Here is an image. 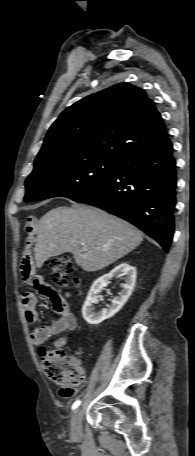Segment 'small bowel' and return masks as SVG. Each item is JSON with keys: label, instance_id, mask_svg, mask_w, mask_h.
<instances>
[{"label": "small bowel", "instance_id": "small-bowel-1", "mask_svg": "<svg viewBox=\"0 0 195 456\" xmlns=\"http://www.w3.org/2000/svg\"><path fill=\"white\" fill-rule=\"evenodd\" d=\"M36 219L28 217L24 224V231L27 235V246L21 261V276L25 281H32L35 290L43 297L49 299L54 310L59 317L45 325L35 328L31 333L32 342L40 346L46 343L49 339L62 332L73 331L77 328L78 322L74 313L70 310L67 304L69 294H63L61 290L53 288L45 281L42 275H35L33 267V258L30 247L34 240L36 231ZM24 309L25 319L28 323H34L37 320V297L32 292H26L21 298ZM68 341V336L58 338L54 345L61 347ZM75 388H61L59 395L63 398H71L75 395Z\"/></svg>", "mask_w": 195, "mask_h": 456}]
</instances>
